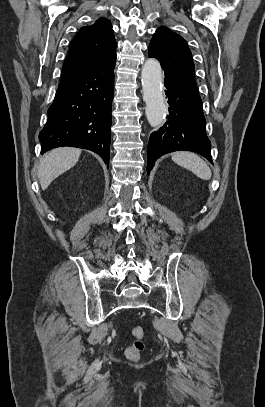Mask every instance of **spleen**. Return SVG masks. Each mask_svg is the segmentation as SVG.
Segmentation results:
<instances>
[{"label": "spleen", "instance_id": "obj_1", "mask_svg": "<svg viewBox=\"0 0 265 407\" xmlns=\"http://www.w3.org/2000/svg\"><path fill=\"white\" fill-rule=\"evenodd\" d=\"M172 160L178 165L192 171L203 180H209L212 176L207 163L198 155L191 152H176L172 155Z\"/></svg>", "mask_w": 265, "mask_h": 407}]
</instances>
